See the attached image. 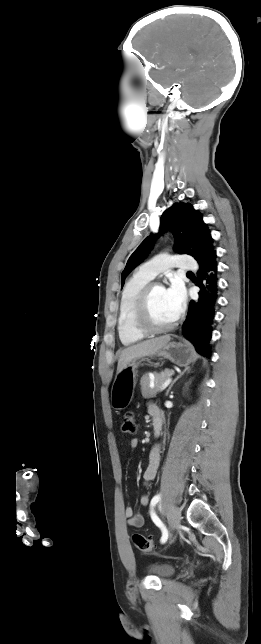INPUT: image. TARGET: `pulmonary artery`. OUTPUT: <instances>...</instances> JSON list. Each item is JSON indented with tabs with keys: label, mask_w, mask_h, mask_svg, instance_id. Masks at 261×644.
<instances>
[{
	"label": "pulmonary artery",
	"mask_w": 261,
	"mask_h": 644,
	"mask_svg": "<svg viewBox=\"0 0 261 644\" xmlns=\"http://www.w3.org/2000/svg\"><path fill=\"white\" fill-rule=\"evenodd\" d=\"M174 267L182 270H195L197 264L192 257L187 255L160 254L142 264L139 271L150 278H154L159 273Z\"/></svg>",
	"instance_id": "1"
}]
</instances>
